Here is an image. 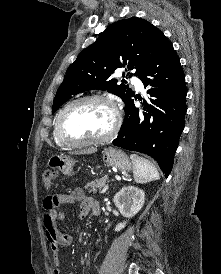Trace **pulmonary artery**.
<instances>
[{"instance_id":"pulmonary-artery-1","label":"pulmonary artery","mask_w":221,"mask_h":274,"mask_svg":"<svg viewBox=\"0 0 221 274\" xmlns=\"http://www.w3.org/2000/svg\"><path fill=\"white\" fill-rule=\"evenodd\" d=\"M132 82L135 84L136 88L138 90H142L143 89V84L142 82L135 76L132 77Z\"/></svg>"}]
</instances>
